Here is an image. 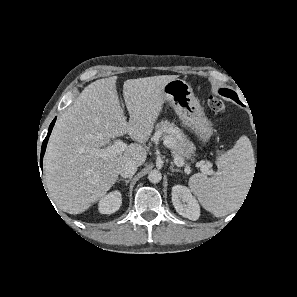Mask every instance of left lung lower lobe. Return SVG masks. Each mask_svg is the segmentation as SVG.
I'll return each mask as SVG.
<instances>
[{"mask_svg":"<svg viewBox=\"0 0 297 297\" xmlns=\"http://www.w3.org/2000/svg\"><path fill=\"white\" fill-rule=\"evenodd\" d=\"M237 103L241 104V102L239 100H236Z\"/></svg>","mask_w":297,"mask_h":297,"instance_id":"obj_1","label":"left lung lower lobe"}]
</instances>
